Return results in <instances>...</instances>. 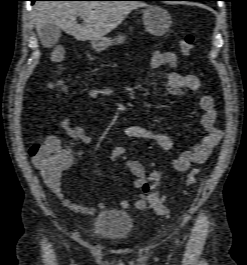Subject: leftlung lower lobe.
Listing matches in <instances>:
<instances>
[{
	"label": "left lung lower lobe",
	"mask_w": 247,
	"mask_h": 265,
	"mask_svg": "<svg viewBox=\"0 0 247 265\" xmlns=\"http://www.w3.org/2000/svg\"><path fill=\"white\" fill-rule=\"evenodd\" d=\"M143 1H166V0H143ZM174 1V0H171ZM184 1H202V0H184Z\"/></svg>",
	"instance_id": "obj_1"
}]
</instances>
